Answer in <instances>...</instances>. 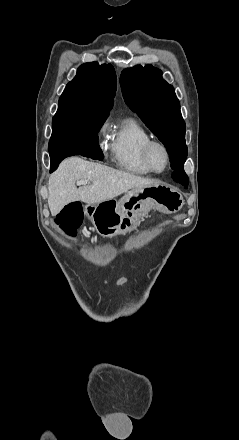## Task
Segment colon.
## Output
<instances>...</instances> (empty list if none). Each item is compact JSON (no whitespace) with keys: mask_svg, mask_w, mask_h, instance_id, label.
Returning a JSON list of instances; mask_svg holds the SVG:
<instances>
[{"mask_svg":"<svg viewBox=\"0 0 239 440\" xmlns=\"http://www.w3.org/2000/svg\"><path fill=\"white\" fill-rule=\"evenodd\" d=\"M82 207L79 203L66 205L56 216V224L69 236H75L82 223Z\"/></svg>","mask_w":239,"mask_h":440,"instance_id":"1","label":"colon"}]
</instances>
